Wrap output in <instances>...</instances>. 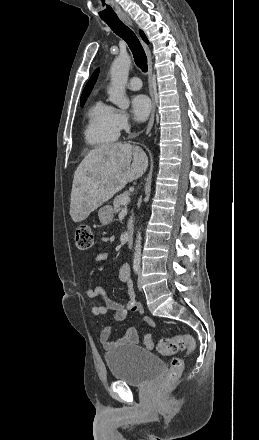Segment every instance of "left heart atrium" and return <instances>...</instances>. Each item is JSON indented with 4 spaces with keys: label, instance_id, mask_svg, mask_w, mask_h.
<instances>
[{
    "label": "left heart atrium",
    "instance_id": "39dd6f15",
    "mask_svg": "<svg viewBox=\"0 0 259 440\" xmlns=\"http://www.w3.org/2000/svg\"><path fill=\"white\" fill-rule=\"evenodd\" d=\"M151 108L152 104L148 96L138 94L132 98V109L137 120L144 121L148 117Z\"/></svg>",
    "mask_w": 259,
    "mask_h": 440
}]
</instances>
